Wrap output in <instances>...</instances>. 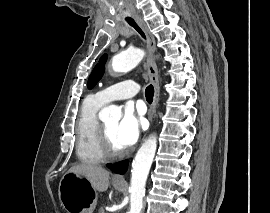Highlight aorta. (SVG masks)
<instances>
[{
  "instance_id": "aorta-1",
  "label": "aorta",
  "mask_w": 270,
  "mask_h": 213,
  "mask_svg": "<svg viewBox=\"0 0 270 213\" xmlns=\"http://www.w3.org/2000/svg\"><path fill=\"white\" fill-rule=\"evenodd\" d=\"M144 51L139 48H132L113 56L111 66L114 72L126 73L132 70L143 59ZM122 116L120 108L110 105L104 108L99 117L102 120L113 118L119 120ZM157 138L149 136L141 145L132 163L130 183V210L128 213H141L143 208V197L147 177L156 153Z\"/></svg>"
}]
</instances>
